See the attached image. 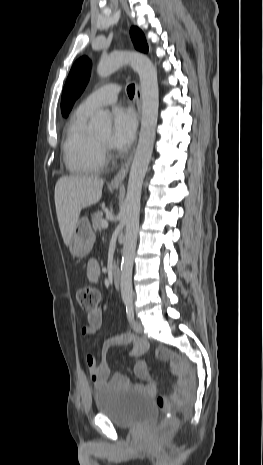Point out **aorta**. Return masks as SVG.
I'll return each mask as SVG.
<instances>
[{
  "instance_id": "762f6f07",
  "label": "aorta",
  "mask_w": 263,
  "mask_h": 465,
  "mask_svg": "<svg viewBox=\"0 0 263 465\" xmlns=\"http://www.w3.org/2000/svg\"><path fill=\"white\" fill-rule=\"evenodd\" d=\"M134 68L140 78L142 97V120L138 146L131 165L126 194V228L121 262V296L124 303L133 300L132 269L137 245L140 218L141 191L148 165L153 152L159 107L157 70L144 54L116 51L102 59L97 66V74L107 77L124 65ZM96 132L111 129V117L106 111H98L91 121Z\"/></svg>"
}]
</instances>
